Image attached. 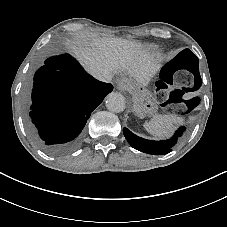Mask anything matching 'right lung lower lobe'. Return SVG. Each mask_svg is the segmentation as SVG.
<instances>
[{
    "label": "right lung lower lobe",
    "mask_w": 227,
    "mask_h": 227,
    "mask_svg": "<svg viewBox=\"0 0 227 227\" xmlns=\"http://www.w3.org/2000/svg\"><path fill=\"white\" fill-rule=\"evenodd\" d=\"M112 90L68 54L48 58L34 75L30 111L42 147L53 155L76 148L91 112Z\"/></svg>",
    "instance_id": "1"
}]
</instances>
